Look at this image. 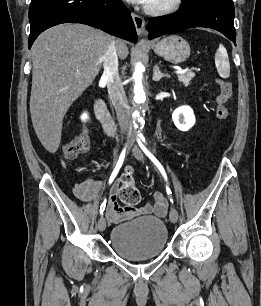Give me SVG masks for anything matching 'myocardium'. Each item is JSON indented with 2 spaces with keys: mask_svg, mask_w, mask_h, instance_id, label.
<instances>
[{
  "mask_svg": "<svg viewBox=\"0 0 261 306\" xmlns=\"http://www.w3.org/2000/svg\"><path fill=\"white\" fill-rule=\"evenodd\" d=\"M183 0H168L162 5H151L147 4L145 10L147 13L152 15H167L175 12L182 5Z\"/></svg>",
  "mask_w": 261,
  "mask_h": 306,
  "instance_id": "f54148a6",
  "label": "myocardium"
}]
</instances>
